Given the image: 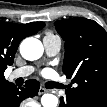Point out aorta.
<instances>
[{"instance_id":"obj_1","label":"aorta","mask_w":107,"mask_h":107,"mask_svg":"<svg viewBox=\"0 0 107 107\" xmlns=\"http://www.w3.org/2000/svg\"><path fill=\"white\" fill-rule=\"evenodd\" d=\"M44 52L41 41L36 38L30 37L22 41L20 45V53L22 57L29 61L39 59ZM41 104L43 107H57L58 98L53 94H44L41 97Z\"/></svg>"}]
</instances>
